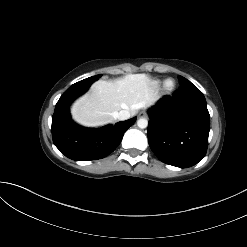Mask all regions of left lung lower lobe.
<instances>
[{
    "label": "left lung lower lobe",
    "instance_id": "obj_1",
    "mask_svg": "<svg viewBox=\"0 0 247 247\" xmlns=\"http://www.w3.org/2000/svg\"><path fill=\"white\" fill-rule=\"evenodd\" d=\"M148 113L149 145L162 162L187 168L204 158L209 112L205 97L196 86L181 85L172 97H162Z\"/></svg>",
    "mask_w": 247,
    "mask_h": 247
}]
</instances>
